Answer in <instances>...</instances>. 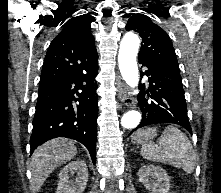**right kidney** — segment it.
I'll return each mask as SVG.
<instances>
[{"label":"right kidney","instance_id":"1","mask_svg":"<svg viewBox=\"0 0 221 193\" xmlns=\"http://www.w3.org/2000/svg\"><path fill=\"white\" fill-rule=\"evenodd\" d=\"M74 179H70L74 176ZM88 181V169L83 160L72 161L59 173L56 193H83Z\"/></svg>","mask_w":221,"mask_h":193}]
</instances>
